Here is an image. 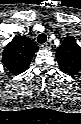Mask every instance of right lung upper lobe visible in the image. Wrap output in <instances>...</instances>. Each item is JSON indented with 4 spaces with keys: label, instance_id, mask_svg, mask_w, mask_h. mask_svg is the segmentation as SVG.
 <instances>
[{
    "label": "right lung upper lobe",
    "instance_id": "obj_1",
    "mask_svg": "<svg viewBox=\"0 0 81 124\" xmlns=\"http://www.w3.org/2000/svg\"><path fill=\"white\" fill-rule=\"evenodd\" d=\"M38 46L28 37L15 36L4 48L2 62L11 74H21L31 63Z\"/></svg>",
    "mask_w": 81,
    "mask_h": 124
}]
</instances>
